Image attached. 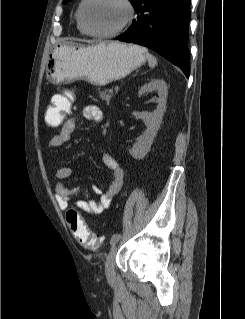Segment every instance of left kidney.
<instances>
[{
  "mask_svg": "<svg viewBox=\"0 0 245 319\" xmlns=\"http://www.w3.org/2000/svg\"><path fill=\"white\" fill-rule=\"evenodd\" d=\"M153 90H157L159 95L157 108L153 112L134 111L132 113L136 118L142 119L147 126V129L143 132V134L137 138L133 148L129 150V153L135 159H142L150 150L153 139L160 128L161 120L166 110L167 84L165 81L161 79H153L149 83L144 84L140 88L138 94L139 96H142Z\"/></svg>",
  "mask_w": 245,
  "mask_h": 319,
  "instance_id": "obj_1",
  "label": "left kidney"
}]
</instances>
